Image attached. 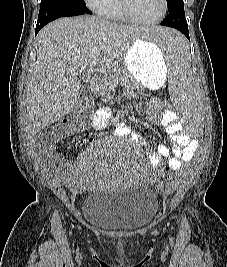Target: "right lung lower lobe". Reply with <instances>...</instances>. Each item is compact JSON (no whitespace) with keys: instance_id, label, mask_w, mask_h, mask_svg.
Listing matches in <instances>:
<instances>
[{"instance_id":"obj_1","label":"right lung lower lobe","mask_w":227,"mask_h":267,"mask_svg":"<svg viewBox=\"0 0 227 267\" xmlns=\"http://www.w3.org/2000/svg\"><path fill=\"white\" fill-rule=\"evenodd\" d=\"M92 14L88 8L72 9V8H40L35 35L43 28L47 23L60 18L77 16L82 14Z\"/></svg>"}]
</instances>
